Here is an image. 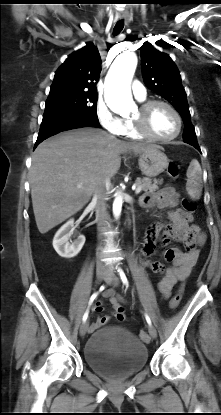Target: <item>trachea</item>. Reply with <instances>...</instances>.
I'll use <instances>...</instances> for the list:
<instances>
[{
  "mask_svg": "<svg viewBox=\"0 0 221 415\" xmlns=\"http://www.w3.org/2000/svg\"><path fill=\"white\" fill-rule=\"evenodd\" d=\"M123 27H124V20L118 21L113 29V34L118 35L123 30Z\"/></svg>",
  "mask_w": 221,
  "mask_h": 415,
  "instance_id": "obj_1",
  "label": "trachea"
}]
</instances>
